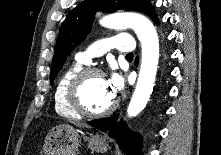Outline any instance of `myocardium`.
<instances>
[{
	"instance_id": "obj_1",
	"label": "myocardium",
	"mask_w": 221,
	"mask_h": 155,
	"mask_svg": "<svg viewBox=\"0 0 221 155\" xmlns=\"http://www.w3.org/2000/svg\"><path fill=\"white\" fill-rule=\"evenodd\" d=\"M101 75L105 76L103 70L97 67H87L81 69L75 76L70 80L66 90V100L68 105L77 114L90 118L104 117L111 114L117 107L118 101L114 97L111 104L102 111L94 112L88 110L81 101L80 90L84 82L91 76Z\"/></svg>"
}]
</instances>
